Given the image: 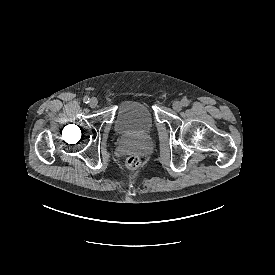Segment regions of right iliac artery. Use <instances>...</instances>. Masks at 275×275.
Wrapping results in <instances>:
<instances>
[{"label": "right iliac artery", "mask_w": 275, "mask_h": 275, "mask_svg": "<svg viewBox=\"0 0 275 275\" xmlns=\"http://www.w3.org/2000/svg\"><path fill=\"white\" fill-rule=\"evenodd\" d=\"M84 103H89L90 99L88 97L83 98Z\"/></svg>", "instance_id": "obj_1"}]
</instances>
